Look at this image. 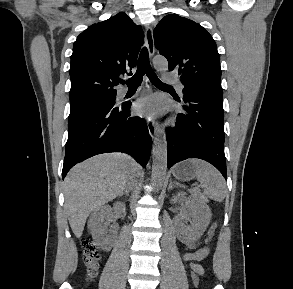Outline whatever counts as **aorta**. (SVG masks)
Wrapping results in <instances>:
<instances>
[{
    "label": "aorta",
    "instance_id": "1",
    "mask_svg": "<svg viewBox=\"0 0 293 289\" xmlns=\"http://www.w3.org/2000/svg\"><path fill=\"white\" fill-rule=\"evenodd\" d=\"M154 67L159 71H165L168 67L167 60L157 57L153 60ZM152 181L156 186L163 184L167 170V142L163 129L159 128L153 145Z\"/></svg>",
    "mask_w": 293,
    "mask_h": 289
}]
</instances>
